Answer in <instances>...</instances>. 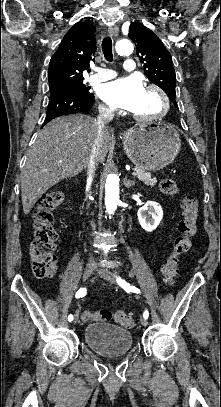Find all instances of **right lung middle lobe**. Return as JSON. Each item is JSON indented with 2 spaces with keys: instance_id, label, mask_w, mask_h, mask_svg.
Returning a JSON list of instances; mask_svg holds the SVG:
<instances>
[{
  "instance_id": "right-lung-middle-lobe-1",
  "label": "right lung middle lobe",
  "mask_w": 221,
  "mask_h": 407,
  "mask_svg": "<svg viewBox=\"0 0 221 407\" xmlns=\"http://www.w3.org/2000/svg\"><path fill=\"white\" fill-rule=\"evenodd\" d=\"M64 94H75L84 96L93 95L89 92V87H86L83 82L67 85L60 88L50 89V98Z\"/></svg>"
}]
</instances>
